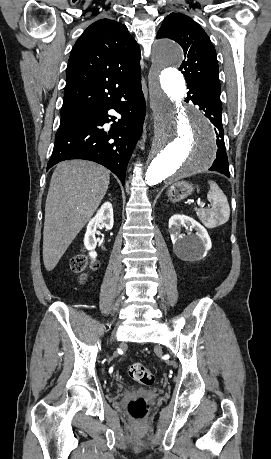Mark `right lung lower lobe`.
<instances>
[{
	"label": "right lung lower lobe",
	"instance_id": "98d812e1",
	"mask_svg": "<svg viewBox=\"0 0 271 459\" xmlns=\"http://www.w3.org/2000/svg\"><path fill=\"white\" fill-rule=\"evenodd\" d=\"M122 118L117 122L108 110ZM145 100L141 78L93 102L91 108L61 118L47 170L69 159L97 162L111 170L124 185L127 164L142 132ZM113 121L110 131L102 126Z\"/></svg>",
	"mask_w": 271,
	"mask_h": 459
}]
</instances>
